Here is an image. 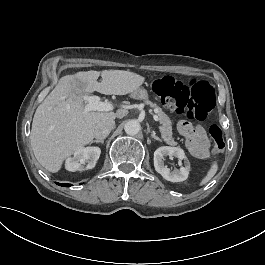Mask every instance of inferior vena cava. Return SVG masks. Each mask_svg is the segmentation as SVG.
Wrapping results in <instances>:
<instances>
[{
  "label": "inferior vena cava",
  "mask_w": 265,
  "mask_h": 265,
  "mask_svg": "<svg viewBox=\"0 0 265 265\" xmlns=\"http://www.w3.org/2000/svg\"><path fill=\"white\" fill-rule=\"evenodd\" d=\"M115 126L114 120H104L99 122L94 129V137L102 140L105 139Z\"/></svg>",
  "instance_id": "inferior-vena-cava-1"
}]
</instances>
